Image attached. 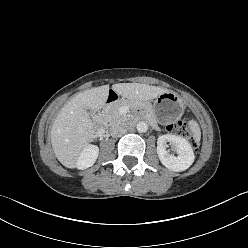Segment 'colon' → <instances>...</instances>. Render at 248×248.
Returning <instances> with one entry per match:
<instances>
[{"instance_id": "obj_1", "label": "colon", "mask_w": 248, "mask_h": 248, "mask_svg": "<svg viewBox=\"0 0 248 248\" xmlns=\"http://www.w3.org/2000/svg\"><path fill=\"white\" fill-rule=\"evenodd\" d=\"M168 131L175 135H180L187 138L194 149L198 148V143L194 136L190 133L187 123L184 120H177L167 127Z\"/></svg>"}]
</instances>
